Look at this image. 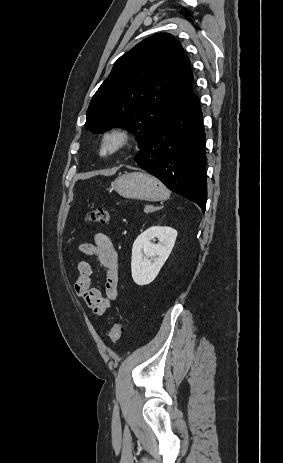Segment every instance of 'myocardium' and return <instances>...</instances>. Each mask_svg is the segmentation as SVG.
<instances>
[{
  "label": "myocardium",
  "mask_w": 283,
  "mask_h": 463,
  "mask_svg": "<svg viewBox=\"0 0 283 463\" xmlns=\"http://www.w3.org/2000/svg\"><path fill=\"white\" fill-rule=\"evenodd\" d=\"M131 132L122 125L106 129L99 138L98 151L102 157H111L124 151L131 142Z\"/></svg>",
  "instance_id": "obj_1"
}]
</instances>
